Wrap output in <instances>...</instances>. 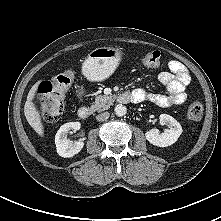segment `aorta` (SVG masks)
<instances>
[{
    "label": "aorta",
    "instance_id": "obj_1",
    "mask_svg": "<svg viewBox=\"0 0 221 221\" xmlns=\"http://www.w3.org/2000/svg\"><path fill=\"white\" fill-rule=\"evenodd\" d=\"M114 111L117 116L122 117L127 113V108L120 104L115 107Z\"/></svg>",
    "mask_w": 221,
    "mask_h": 221
}]
</instances>
